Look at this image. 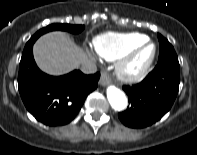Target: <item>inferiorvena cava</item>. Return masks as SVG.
<instances>
[{
    "mask_svg": "<svg viewBox=\"0 0 197 155\" xmlns=\"http://www.w3.org/2000/svg\"><path fill=\"white\" fill-rule=\"evenodd\" d=\"M81 71L85 74H94L97 72V66L91 61H86L82 64Z\"/></svg>",
    "mask_w": 197,
    "mask_h": 155,
    "instance_id": "obj_1",
    "label": "inferior vena cava"
}]
</instances>
